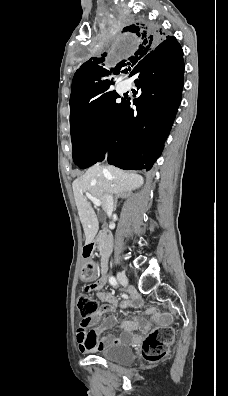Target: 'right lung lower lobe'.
Segmentation results:
<instances>
[{
  "mask_svg": "<svg viewBox=\"0 0 228 396\" xmlns=\"http://www.w3.org/2000/svg\"><path fill=\"white\" fill-rule=\"evenodd\" d=\"M133 75L142 94L134 100L123 99L108 137L107 160L125 170H150L180 105L184 79L181 46H158L139 62Z\"/></svg>",
  "mask_w": 228,
  "mask_h": 396,
  "instance_id": "98d812e1",
  "label": "right lung lower lobe"
}]
</instances>
